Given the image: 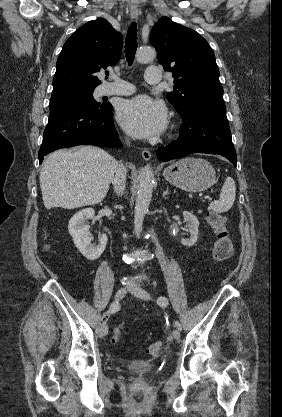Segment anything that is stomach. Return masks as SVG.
<instances>
[{"mask_svg": "<svg viewBox=\"0 0 282 417\" xmlns=\"http://www.w3.org/2000/svg\"><path fill=\"white\" fill-rule=\"evenodd\" d=\"M163 176L174 186L188 192L207 190L216 182V172L212 164L205 158H193V156L172 162L170 166L164 168Z\"/></svg>", "mask_w": 282, "mask_h": 417, "instance_id": "obj_1", "label": "stomach"}]
</instances>
